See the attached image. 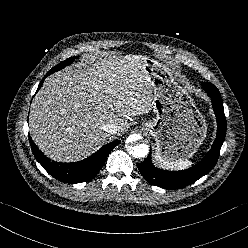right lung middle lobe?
I'll use <instances>...</instances> for the list:
<instances>
[{"label": "right lung middle lobe", "instance_id": "right-lung-middle-lobe-1", "mask_svg": "<svg viewBox=\"0 0 248 248\" xmlns=\"http://www.w3.org/2000/svg\"><path fill=\"white\" fill-rule=\"evenodd\" d=\"M75 58H77V57H72V58H69V59H67V60H65V61H63V62H61L60 64L56 65V66H55L54 68H52L51 70H53V71L56 72V71H58V70L64 68L65 66L69 65L71 62H73V61L75 60Z\"/></svg>", "mask_w": 248, "mask_h": 248}]
</instances>
